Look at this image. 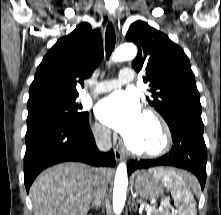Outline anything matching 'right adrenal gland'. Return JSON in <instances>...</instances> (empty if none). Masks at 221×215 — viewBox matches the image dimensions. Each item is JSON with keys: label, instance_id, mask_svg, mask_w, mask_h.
Masks as SVG:
<instances>
[{"label": "right adrenal gland", "instance_id": "obj_1", "mask_svg": "<svg viewBox=\"0 0 221 215\" xmlns=\"http://www.w3.org/2000/svg\"><path fill=\"white\" fill-rule=\"evenodd\" d=\"M100 207V203H98V204H92V206H91V208H96V209H98Z\"/></svg>", "mask_w": 221, "mask_h": 215}]
</instances>
